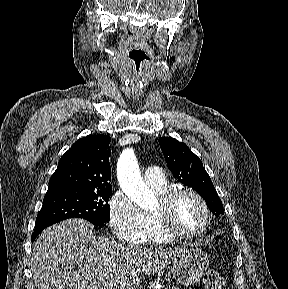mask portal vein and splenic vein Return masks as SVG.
<instances>
[{
    "label": "portal vein and splenic vein",
    "instance_id": "18ae733b",
    "mask_svg": "<svg viewBox=\"0 0 288 289\" xmlns=\"http://www.w3.org/2000/svg\"><path fill=\"white\" fill-rule=\"evenodd\" d=\"M86 278H87V280H88V281H90V282H92V281H93V278H92V277H89V275H88V274H86Z\"/></svg>",
    "mask_w": 288,
    "mask_h": 289
}]
</instances>
